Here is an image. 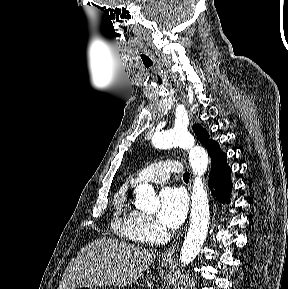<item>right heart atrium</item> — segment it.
<instances>
[{"label": "right heart atrium", "instance_id": "d8ad5b80", "mask_svg": "<svg viewBox=\"0 0 288 289\" xmlns=\"http://www.w3.org/2000/svg\"><path fill=\"white\" fill-rule=\"evenodd\" d=\"M138 229L147 242L161 240L164 235L163 228L151 216L144 214L139 220Z\"/></svg>", "mask_w": 288, "mask_h": 289}]
</instances>
